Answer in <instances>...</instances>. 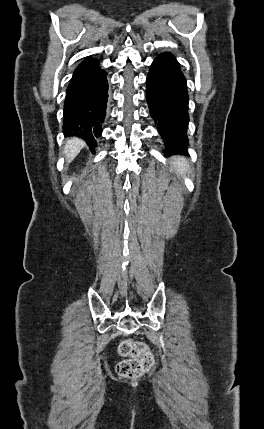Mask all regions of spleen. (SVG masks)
I'll return each instance as SVG.
<instances>
[{
  "instance_id": "spleen-1",
  "label": "spleen",
  "mask_w": 264,
  "mask_h": 429,
  "mask_svg": "<svg viewBox=\"0 0 264 429\" xmlns=\"http://www.w3.org/2000/svg\"><path fill=\"white\" fill-rule=\"evenodd\" d=\"M172 164L175 166L177 175L186 173L188 171V163L183 157L173 158Z\"/></svg>"
}]
</instances>
